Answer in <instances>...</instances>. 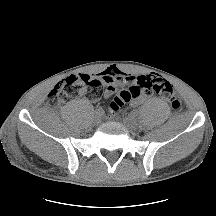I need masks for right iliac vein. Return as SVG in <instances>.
I'll return each mask as SVG.
<instances>
[{"label": "right iliac vein", "mask_w": 216, "mask_h": 216, "mask_svg": "<svg viewBox=\"0 0 216 216\" xmlns=\"http://www.w3.org/2000/svg\"><path fill=\"white\" fill-rule=\"evenodd\" d=\"M101 120H102V117L100 116V115H95L94 117H93V123L95 124V125H98L100 122H101Z\"/></svg>", "instance_id": "63e3f726"}]
</instances>
